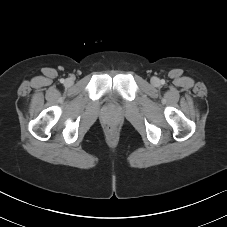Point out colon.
<instances>
[{"label": "colon", "instance_id": "1", "mask_svg": "<svg viewBox=\"0 0 227 227\" xmlns=\"http://www.w3.org/2000/svg\"><path fill=\"white\" fill-rule=\"evenodd\" d=\"M114 131H115V129H114L113 126L110 125V126L107 127V132H108L109 134H113Z\"/></svg>", "mask_w": 227, "mask_h": 227}]
</instances>
